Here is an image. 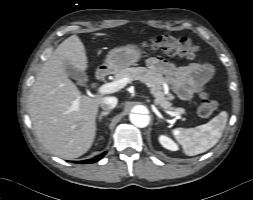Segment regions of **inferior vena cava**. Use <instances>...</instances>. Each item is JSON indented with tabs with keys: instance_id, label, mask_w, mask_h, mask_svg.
I'll return each instance as SVG.
<instances>
[{
	"instance_id": "obj_1",
	"label": "inferior vena cava",
	"mask_w": 253,
	"mask_h": 200,
	"mask_svg": "<svg viewBox=\"0 0 253 200\" xmlns=\"http://www.w3.org/2000/svg\"><path fill=\"white\" fill-rule=\"evenodd\" d=\"M117 102L118 99L116 97L109 96L102 98L100 105L103 110H111L116 107Z\"/></svg>"
}]
</instances>
